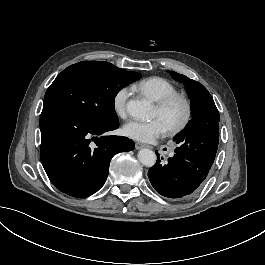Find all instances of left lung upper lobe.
<instances>
[{
	"instance_id": "5c2ea615",
	"label": "left lung upper lobe",
	"mask_w": 265,
	"mask_h": 265,
	"mask_svg": "<svg viewBox=\"0 0 265 265\" xmlns=\"http://www.w3.org/2000/svg\"><path fill=\"white\" fill-rule=\"evenodd\" d=\"M170 74L186 87L193 116L186 128L174 137V141L179 144L175 153L191 162L205 164L211 169L219 143L220 121L213 98L199 82L174 71H170Z\"/></svg>"
}]
</instances>
